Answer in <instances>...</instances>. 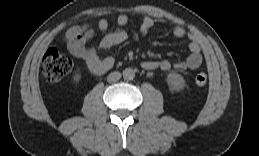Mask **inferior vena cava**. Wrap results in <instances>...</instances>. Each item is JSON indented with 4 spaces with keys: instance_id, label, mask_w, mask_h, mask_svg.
Returning a JSON list of instances; mask_svg holds the SVG:
<instances>
[{
    "instance_id": "obj_1",
    "label": "inferior vena cava",
    "mask_w": 259,
    "mask_h": 156,
    "mask_svg": "<svg viewBox=\"0 0 259 156\" xmlns=\"http://www.w3.org/2000/svg\"><path fill=\"white\" fill-rule=\"evenodd\" d=\"M121 78V73L118 71L115 72H111L108 77H107V81L108 82H116Z\"/></svg>"
}]
</instances>
